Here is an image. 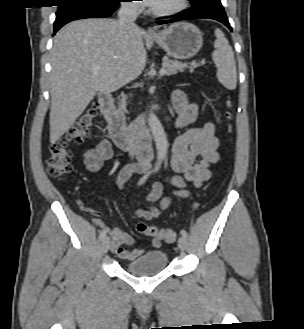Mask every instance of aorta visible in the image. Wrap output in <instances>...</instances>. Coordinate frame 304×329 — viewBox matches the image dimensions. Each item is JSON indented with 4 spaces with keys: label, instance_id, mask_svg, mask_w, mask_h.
<instances>
[{
    "label": "aorta",
    "instance_id": "762f6f07",
    "mask_svg": "<svg viewBox=\"0 0 304 329\" xmlns=\"http://www.w3.org/2000/svg\"><path fill=\"white\" fill-rule=\"evenodd\" d=\"M148 124L156 144L157 162L155 165V170H158L167 154L168 140L164 128L155 114L151 113L149 115Z\"/></svg>",
    "mask_w": 304,
    "mask_h": 329
}]
</instances>
